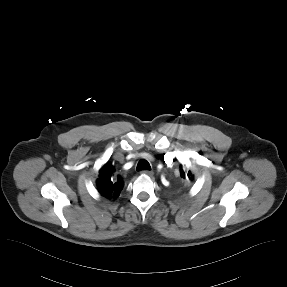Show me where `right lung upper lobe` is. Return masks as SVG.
<instances>
[{
    "instance_id": "obj_1",
    "label": "right lung upper lobe",
    "mask_w": 287,
    "mask_h": 287,
    "mask_svg": "<svg viewBox=\"0 0 287 287\" xmlns=\"http://www.w3.org/2000/svg\"><path fill=\"white\" fill-rule=\"evenodd\" d=\"M114 168L106 163L99 171V178L97 179V188L99 193L105 198L118 197L123 182L120 176L118 179L113 177Z\"/></svg>"
}]
</instances>
